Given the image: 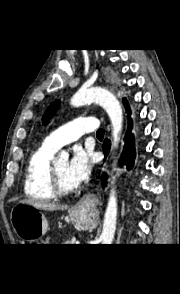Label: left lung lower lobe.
<instances>
[{
  "label": "left lung lower lobe",
  "instance_id": "left-lung-lower-lobe-1",
  "mask_svg": "<svg viewBox=\"0 0 180 294\" xmlns=\"http://www.w3.org/2000/svg\"><path fill=\"white\" fill-rule=\"evenodd\" d=\"M124 105H125L126 111L128 113V117H129V129H128V132L125 137V142H126L125 150L122 154V158H121L120 162H121V164H125L128 169H131L133 167L134 159H135L134 137L131 134L132 121L130 119V108H129L128 102L126 100L124 101ZM109 147H110V141L106 139L104 141V145H103V151H104L105 156L108 153ZM105 180H106V176L103 177V182H102L103 186H104Z\"/></svg>",
  "mask_w": 180,
  "mask_h": 294
}]
</instances>
